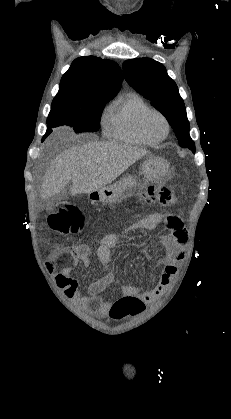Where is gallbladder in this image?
<instances>
[{"label": "gallbladder", "instance_id": "gallbladder-1", "mask_svg": "<svg viewBox=\"0 0 231 419\" xmlns=\"http://www.w3.org/2000/svg\"><path fill=\"white\" fill-rule=\"evenodd\" d=\"M65 194L64 193H59V194H57V195H55V197H53V199L55 200V201H61V200H63V199H65Z\"/></svg>", "mask_w": 231, "mask_h": 419}]
</instances>
